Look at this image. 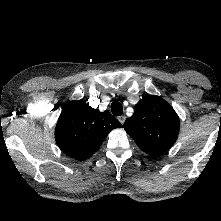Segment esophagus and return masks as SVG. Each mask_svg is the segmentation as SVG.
<instances>
[{"label": "esophagus", "instance_id": "obj_1", "mask_svg": "<svg viewBox=\"0 0 221 221\" xmlns=\"http://www.w3.org/2000/svg\"><path fill=\"white\" fill-rule=\"evenodd\" d=\"M118 120L120 121L121 124H124L125 120H126V116L125 115H121L118 117Z\"/></svg>", "mask_w": 221, "mask_h": 221}]
</instances>
